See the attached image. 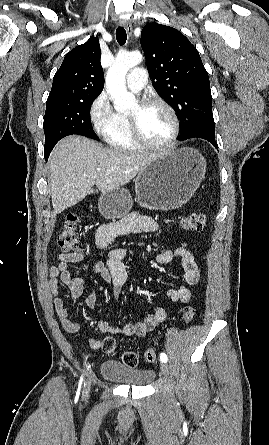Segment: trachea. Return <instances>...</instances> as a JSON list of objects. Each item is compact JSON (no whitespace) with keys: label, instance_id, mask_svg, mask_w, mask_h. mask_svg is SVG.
Here are the masks:
<instances>
[{"label":"trachea","instance_id":"1","mask_svg":"<svg viewBox=\"0 0 269 445\" xmlns=\"http://www.w3.org/2000/svg\"><path fill=\"white\" fill-rule=\"evenodd\" d=\"M116 39L120 45H124L127 40V34L124 27H118L116 30Z\"/></svg>","mask_w":269,"mask_h":445}]
</instances>
